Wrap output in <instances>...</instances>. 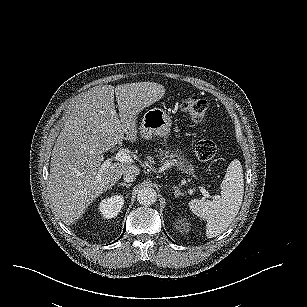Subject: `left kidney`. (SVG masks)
Here are the masks:
<instances>
[{"mask_svg":"<svg viewBox=\"0 0 307 307\" xmlns=\"http://www.w3.org/2000/svg\"><path fill=\"white\" fill-rule=\"evenodd\" d=\"M179 226L181 227V232H188L190 230V223L186 218H183L179 221Z\"/></svg>","mask_w":307,"mask_h":307,"instance_id":"left-kidney-1","label":"left kidney"}]
</instances>
